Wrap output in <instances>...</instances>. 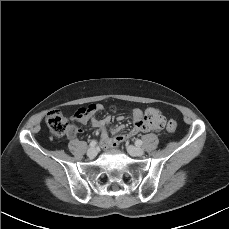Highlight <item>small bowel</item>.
I'll return each mask as SVG.
<instances>
[{"instance_id": "c3829d8e", "label": "small bowel", "mask_w": 229, "mask_h": 229, "mask_svg": "<svg viewBox=\"0 0 229 229\" xmlns=\"http://www.w3.org/2000/svg\"><path fill=\"white\" fill-rule=\"evenodd\" d=\"M146 112H143L139 108L132 110V119H133V128L128 134H120L117 137H114V134L120 132L123 129L122 125H119L115 128L110 127L111 119L109 116L99 118L94 114H81L77 111L73 115V119L79 121L82 124H90L92 127L100 129L101 142L104 145H110L112 143H122L126 139L132 137L138 132H148L150 128L143 121ZM124 120L123 115L117 116V121L121 122ZM81 129L70 127L69 135L73 136L76 132H81Z\"/></svg>"}]
</instances>
